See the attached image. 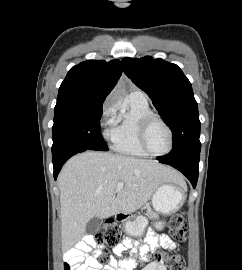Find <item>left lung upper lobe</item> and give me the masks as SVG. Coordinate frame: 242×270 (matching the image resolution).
I'll return each mask as SVG.
<instances>
[{
	"label": "left lung upper lobe",
	"mask_w": 242,
	"mask_h": 270,
	"mask_svg": "<svg viewBox=\"0 0 242 270\" xmlns=\"http://www.w3.org/2000/svg\"><path fill=\"white\" fill-rule=\"evenodd\" d=\"M125 74L153 101L173 134L168 158H178L201 149L198 105L191 83L181 69L161 59L124 58Z\"/></svg>",
	"instance_id": "1"
}]
</instances>
